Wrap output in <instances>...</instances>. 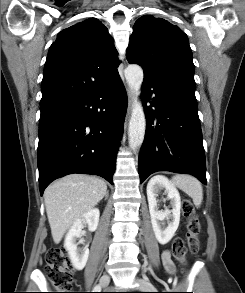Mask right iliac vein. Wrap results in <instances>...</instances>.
Masks as SVG:
<instances>
[{"mask_svg": "<svg viewBox=\"0 0 245 293\" xmlns=\"http://www.w3.org/2000/svg\"><path fill=\"white\" fill-rule=\"evenodd\" d=\"M109 282H110V277L107 274L103 275L100 279V285L102 288L106 287L109 284Z\"/></svg>", "mask_w": 245, "mask_h": 293, "instance_id": "obj_1", "label": "right iliac vein"}]
</instances>
